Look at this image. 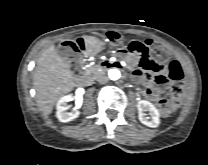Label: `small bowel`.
Listing matches in <instances>:
<instances>
[{
	"instance_id": "c3829d8e",
	"label": "small bowel",
	"mask_w": 208,
	"mask_h": 165,
	"mask_svg": "<svg viewBox=\"0 0 208 165\" xmlns=\"http://www.w3.org/2000/svg\"><path fill=\"white\" fill-rule=\"evenodd\" d=\"M125 63L133 68L137 64V57L133 53L125 55ZM159 67L146 74L141 70H135L133 77L147 85L143 95L150 100H157L163 93L166 85L173 84L182 86L188 80V73L183 62L175 61L170 56L163 57L159 62Z\"/></svg>"
}]
</instances>
